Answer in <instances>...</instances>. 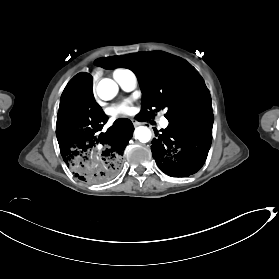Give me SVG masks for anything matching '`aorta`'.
<instances>
[{"label": "aorta", "mask_w": 279, "mask_h": 279, "mask_svg": "<svg viewBox=\"0 0 279 279\" xmlns=\"http://www.w3.org/2000/svg\"><path fill=\"white\" fill-rule=\"evenodd\" d=\"M118 93V85L109 78L102 79L97 86V94L102 100H111ZM135 138L142 143H147L151 138V131L148 127L139 126L134 131Z\"/></svg>", "instance_id": "obj_1"}]
</instances>
